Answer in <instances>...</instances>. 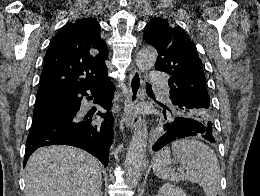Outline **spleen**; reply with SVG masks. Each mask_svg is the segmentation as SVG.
<instances>
[{"label": "spleen", "instance_id": "spleen-1", "mask_svg": "<svg viewBox=\"0 0 260 196\" xmlns=\"http://www.w3.org/2000/svg\"><path fill=\"white\" fill-rule=\"evenodd\" d=\"M171 148L173 160L170 148H163L157 154L153 162L155 176L167 182H193L203 188L205 196H217L221 172L214 150L197 140H178ZM171 164H181L185 174L174 172Z\"/></svg>", "mask_w": 260, "mask_h": 196}]
</instances>
